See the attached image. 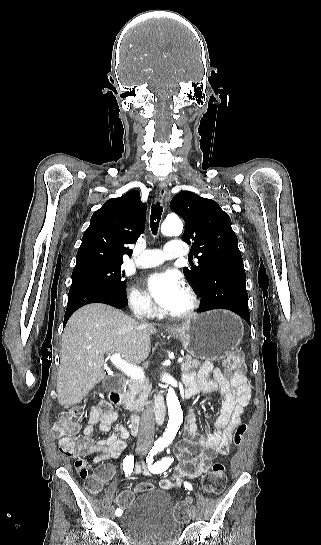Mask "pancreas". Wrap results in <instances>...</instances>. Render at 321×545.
<instances>
[{"label":"pancreas","instance_id":"obj_1","mask_svg":"<svg viewBox=\"0 0 321 545\" xmlns=\"http://www.w3.org/2000/svg\"><path fill=\"white\" fill-rule=\"evenodd\" d=\"M201 361L192 359V357H186L184 363H181L182 373H189L193 369L200 367ZM152 387H150L147 381H139V379H129L128 393H125V401H127L126 407L130 411H141L144 405H147V399L151 393Z\"/></svg>","mask_w":321,"mask_h":545}]
</instances>
